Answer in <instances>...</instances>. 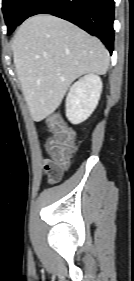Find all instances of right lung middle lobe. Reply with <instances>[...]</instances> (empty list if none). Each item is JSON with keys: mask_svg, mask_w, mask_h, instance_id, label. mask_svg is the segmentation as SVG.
<instances>
[{"mask_svg": "<svg viewBox=\"0 0 134 281\" xmlns=\"http://www.w3.org/2000/svg\"><path fill=\"white\" fill-rule=\"evenodd\" d=\"M30 0H3V14L8 26V34H11L17 25L21 24L24 10Z\"/></svg>", "mask_w": 134, "mask_h": 281, "instance_id": "right-lung-middle-lobe-1", "label": "right lung middle lobe"}]
</instances>
